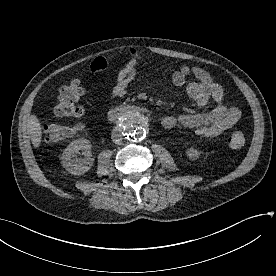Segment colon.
Masks as SVG:
<instances>
[{
	"mask_svg": "<svg viewBox=\"0 0 276 276\" xmlns=\"http://www.w3.org/2000/svg\"><path fill=\"white\" fill-rule=\"evenodd\" d=\"M83 96V88L78 80H74L59 89L54 106L55 113L62 118H78L83 115L84 109L79 104ZM76 127L53 124L44 128L45 140L55 143L68 139ZM228 145L233 149H240L245 145V136L239 130H233L227 137Z\"/></svg>",
	"mask_w": 276,
	"mask_h": 276,
	"instance_id": "5ec220e1",
	"label": "colon"
}]
</instances>
